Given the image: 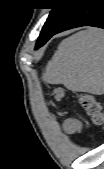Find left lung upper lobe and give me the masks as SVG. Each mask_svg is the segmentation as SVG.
<instances>
[{"mask_svg":"<svg viewBox=\"0 0 104 169\" xmlns=\"http://www.w3.org/2000/svg\"><path fill=\"white\" fill-rule=\"evenodd\" d=\"M59 6L54 7L50 12L42 31L44 35L53 31L72 10L76 0H53ZM41 34V33H40Z\"/></svg>","mask_w":104,"mask_h":169,"instance_id":"obj_1","label":"left lung upper lobe"}]
</instances>
